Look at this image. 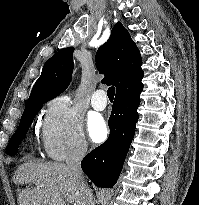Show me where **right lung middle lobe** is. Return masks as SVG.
Masks as SVG:
<instances>
[{
    "label": "right lung middle lobe",
    "instance_id": "dd1d6c3e",
    "mask_svg": "<svg viewBox=\"0 0 199 205\" xmlns=\"http://www.w3.org/2000/svg\"><path fill=\"white\" fill-rule=\"evenodd\" d=\"M49 101V99H38L28 102L25 105V110L22 114L19 127L17 131L11 137L9 144L6 148L7 155H15L18 152V147L26 135L32 121L38 111L42 108V105Z\"/></svg>",
    "mask_w": 199,
    "mask_h": 205
}]
</instances>
